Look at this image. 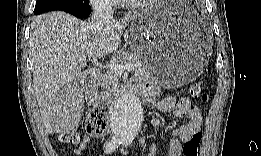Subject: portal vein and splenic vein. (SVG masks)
I'll return each instance as SVG.
<instances>
[{
	"label": "portal vein and splenic vein",
	"instance_id": "portal-vein-and-splenic-vein-1",
	"mask_svg": "<svg viewBox=\"0 0 261 156\" xmlns=\"http://www.w3.org/2000/svg\"><path fill=\"white\" fill-rule=\"evenodd\" d=\"M89 57L88 59L85 57H80L78 62L80 64H84L87 61H90ZM109 68L116 74V75H122L124 73V71H133L135 69L133 64H126V65H121V64H111L109 65Z\"/></svg>",
	"mask_w": 261,
	"mask_h": 156
}]
</instances>
